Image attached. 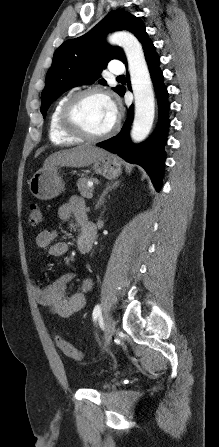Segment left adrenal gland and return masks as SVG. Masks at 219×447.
Here are the masks:
<instances>
[{"mask_svg":"<svg viewBox=\"0 0 219 447\" xmlns=\"http://www.w3.org/2000/svg\"><path fill=\"white\" fill-rule=\"evenodd\" d=\"M119 184H120V181H115V182H112V183H110V184L108 183V184L106 185V188L103 190V193L101 194V196L99 197V199H98V201H97V203H96V205H95V209L100 208V207L104 204L105 196H106L110 191H112V189H115L116 187H118Z\"/></svg>","mask_w":219,"mask_h":447,"instance_id":"left-adrenal-gland-1","label":"left adrenal gland"}]
</instances>
